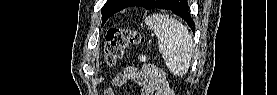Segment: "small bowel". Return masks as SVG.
Returning a JSON list of instances; mask_svg holds the SVG:
<instances>
[{"instance_id":"c3829d8e","label":"small bowel","mask_w":277,"mask_h":95,"mask_svg":"<svg viewBox=\"0 0 277 95\" xmlns=\"http://www.w3.org/2000/svg\"><path fill=\"white\" fill-rule=\"evenodd\" d=\"M141 67L131 66L125 70L121 75L115 76L112 79V84L115 86H126L131 79L144 86L142 95H168V87L159 84L153 75V67L148 62L145 56H140ZM105 95L116 94L111 88L105 90Z\"/></svg>"}]
</instances>
